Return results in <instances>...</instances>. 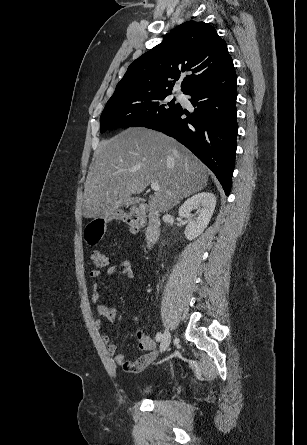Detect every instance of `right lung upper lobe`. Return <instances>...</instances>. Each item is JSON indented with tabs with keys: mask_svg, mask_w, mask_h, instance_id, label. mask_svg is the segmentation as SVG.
I'll return each mask as SVG.
<instances>
[{
	"mask_svg": "<svg viewBox=\"0 0 307 445\" xmlns=\"http://www.w3.org/2000/svg\"><path fill=\"white\" fill-rule=\"evenodd\" d=\"M232 63L225 41L211 25L187 21L128 67L111 98L171 94L183 73L192 71L181 84L186 93Z\"/></svg>",
	"mask_w": 307,
	"mask_h": 445,
	"instance_id": "obj_1",
	"label": "right lung upper lobe"
}]
</instances>
